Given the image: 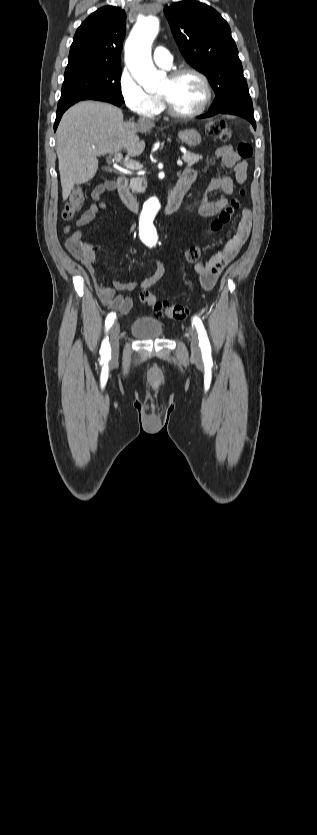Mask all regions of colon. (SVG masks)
I'll return each mask as SVG.
<instances>
[{
    "label": "colon",
    "mask_w": 317,
    "mask_h": 835,
    "mask_svg": "<svg viewBox=\"0 0 317 835\" xmlns=\"http://www.w3.org/2000/svg\"><path fill=\"white\" fill-rule=\"evenodd\" d=\"M206 132L209 136L223 142L228 141L232 134L230 127L224 121L220 120L210 122L206 127ZM237 152L238 155L244 159L252 156V148L247 142L239 143ZM243 194L244 191H241V195ZM84 200V190L80 187L73 188L62 212L64 220L72 221L81 209ZM238 208L239 201L237 199H233L230 204L219 213L218 217L212 221L210 225V232L214 233L220 231L223 227L227 226L231 222L232 217ZM74 249L76 252L82 254L90 250L91 247L88 244L79 241L74 243ZM200 256L201 249L198 246L189 247L185 251V257L189 261H196ZM139 299L141 303L149 306L157 316H166L171 319L180 320L187 314L185 306L181 304H166L158 300L148 289L140 292Z\"/></svg>",
    "instance_id": "1"
}]
</instances>
